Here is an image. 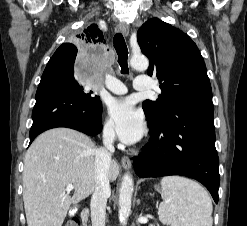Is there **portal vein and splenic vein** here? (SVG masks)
Segmentation results:
<instances>
[{"mask_svg":"<svg viewBox=\"0 0 247 226\" xmlns=\"http://www.w3.org/2000/svg\"><path fill=\"white\" fill-rule=\"evenodd\" d=\"M74 189V186L72 184H69L67 187H66V192H70L71 190Z\"/></svg>","mask_w":247,"mask_h":226,"instance_id":"18ae733b","label":"portal vein and splenic vein"}]
</instances>
